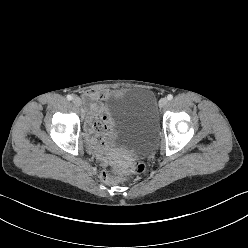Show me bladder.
<instances>
[{"instance_id":"1","label":"bladder","mask_w":248,"mask_h":248,"mask_svg":"<svg viewBox=\"0 0 248 248\" xmlns=\"http://www.w3.org/2000/svg\"><path fill=\"white\" fill-rule=\"evenodd\" d=\"M154 94L145 88L124 91L107 104L111 128L108 142L137 155L151 152L157 143L158 125Z\"/></svg>"}]
</instances>
